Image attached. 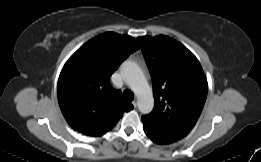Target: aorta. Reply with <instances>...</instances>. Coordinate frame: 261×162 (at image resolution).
I'll return each instance as SVG.
<instances>
[{
  "mask_svg": "<svg viewBox=\"0 0 261 162\" xmlns=\"http://www.w3.org/2000/svg\"><path fill=\"white\" fill-rule=\"evenodd\" d=\"M122 75L137 96L139 111L142 114L150 113L154 107V98L141 68L132 61H125L122 64Z\"/></svg>",
  "mask_w": 261,
  "mask_h": 162,
  "instance_id": "1",
  "label": "aorta"
}]
</instances>
